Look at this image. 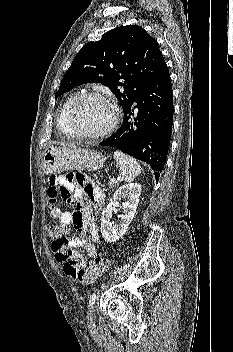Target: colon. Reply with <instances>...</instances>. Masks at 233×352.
Returning <instances> with one entry per match:
<instances>
[{"mask_svg":"<svg viewBox=\"0 0 233 352\" xmlns=\"http://www.w3.org/2000/svg\"><path fill=\"white\" fill-rule=\"evenodd\" d=\"M47 233L54 241L58 242L61 247L66 246L68 238L66 237V229L63 226L51 222L47 225ZM109 267V259L104 255H100L91 261L86 268L81 269L77 273L76 278L82 286H89L106 272Z\"/></svg>","mask_w":233,"mask_h":352,"instance_id":"5ec220e1","label":"colon"}]
</instances>
